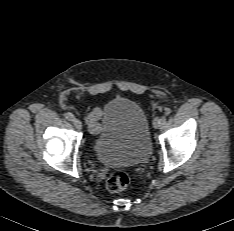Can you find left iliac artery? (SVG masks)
I'll use <instances>...</instances> for the list:
<instances>
[{"label": "left iliac artery", "instance_id": "44dca946", "mask_svg": "<svg viewBox=\"0 0 234 231\" xmlns=\"http://www.w3.org/2000/svg\"><path fill=\"white\" fill-rule=\"evenodd\" d=\"M166 124V117L165 116H162L160 118V127H164V125Z\"/></svg>", "mask_w": 234, "mask_h": 231}]
</instances>
